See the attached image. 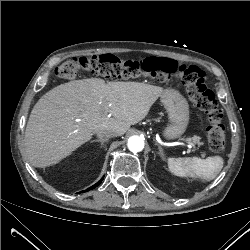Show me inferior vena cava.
I'll return each instance as SVG.
<instances>
[{"mask_svg": "<svg viewBox=\"0 0 250 250\" xmlns=\"http://www.w3.org/2000/svg\"><path fill=\"white\" fill-rule=\"evenodd\" d=\"M97 136L99 138H108L117 136V132L114 130H99L97 131Z\"/></svg>", "mask_w": 250, "mask_h": 250, "instance_id": "1", "label": "inferior vena cava"}]
</instances>
